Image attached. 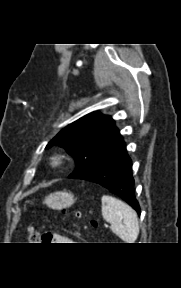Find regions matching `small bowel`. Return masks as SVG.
<instances>
[{
	"mask_svg": "<svg viewBox=\"0 0 181 288\" xmlns=\"http://www.w3.org/2000/svg\"><path fill=\"white\" fill-rule=\"evenodd\" d=\"M50 241L53 243H75V240L72 238L59 233H51Z\"/></svg>",
	"mask_w": 181,
	"mask_h": 288,
	"instance_id": "obj_1",
	"label": "small bowel"
}]
</instances>
